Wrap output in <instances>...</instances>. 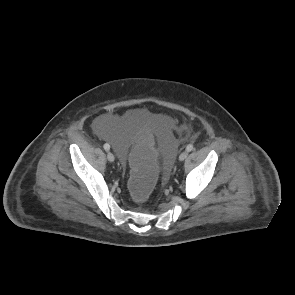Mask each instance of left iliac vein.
<instances>
[{
  "instance_id": "left-iliac-vein-1",
  "label": "left iliac vein",
  "mask_w": 295,
  "mask_h": 295,
  "mask_svg": "<svg viewBox=\"0 0 295 295\" xmlns=\"http://www.w3.org/2000/svg\"><path fill=\"white\" fill-rule=\"evenodd\" d=\"M187 156H188V153L184 151L179 155V160L184 161L187 158Z\"/></svg>"
}]
</instances>
